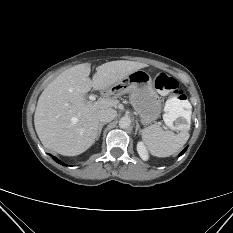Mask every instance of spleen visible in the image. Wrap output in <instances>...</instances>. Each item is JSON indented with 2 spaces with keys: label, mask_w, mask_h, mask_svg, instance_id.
I'll return each instance as SVG.
<instances>
[{
  "label": "spleen",
  "mask_w": 233,
  "mask_h": 233,
  "mask_svg": "<svg viewBox=\"0 0 233 233\" xmlns=\"http://www.w3.org/2000/svg\"><path fill=\"white\" fill-rule=\"evenodd\" d=\"M163 119L172 126L173 122L182 117L187 124L184 129L175 134L171 131H163L157 125H151L141 131L142 139L151 153L158 157H168L180 150L189 139L188 124L191 119V104L188 101L170 99L166 102Z\"/></svg>",
  "instance_id": "1"
}]
</instances>
